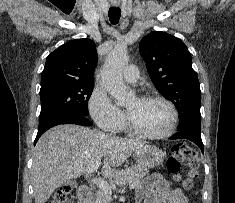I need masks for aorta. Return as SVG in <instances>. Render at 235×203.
Masks as SVG:
<instances>
[{"instance_id": "1", "label": "aorta", "mask_w": 235, "mask_h": 203, "mask_svg": "<svg viewBox=\"0 0 235 203\" xmlns=\"http://www.w3.org/2000/svg\"><path fill=\"white\" fill-rule=\"evenodd\" d=\"M128 61L127 48L119 45L107 55L101 73L102 86L114 97L118 105L125 104L129 97L122 77L123 68Z\"/></svg>"}]
</instances>
